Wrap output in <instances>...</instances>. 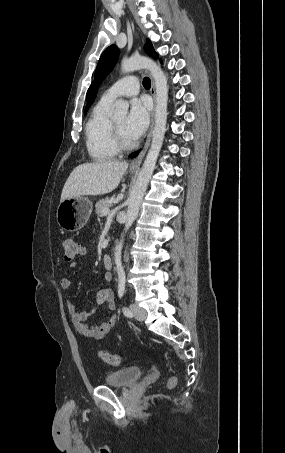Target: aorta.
Listing matches in <instances>:
<instances>
[{
    "label": "aorta",
    "instance_id": "762f6f07",
    "mask_svg": "<svg viewBox=\"0 0 285 453\" xmlns=\"http://www.w3.org/2000/svg\"><path fill=\"white\" fill-rule=\"evenodd\" d=\"M138 69H148L155 81L156 88V108L154 113L155 126L152 132V143L147 153L141 171L139 172L134 189L128 199V209L126 215V223L124 231L127 232L132 226L134 220L138 216L139 207L143 196L146 192L148 183L155 169L156 161L161 150L167 122V105H168V86L167 79L160 68L153 60L134 56L131 58H123L121 62V71L129 73ZM129 109V103L119 99L113 105V112L116 115H126ZM123 247V235L120 242L117 244L114 252L116 270L118 273L123 271L121 261V251Z\"/></svg>",
    "mask_w": 285,
    "mask_h": 453
}]
</instances>
